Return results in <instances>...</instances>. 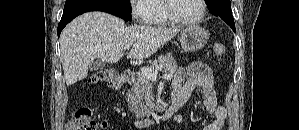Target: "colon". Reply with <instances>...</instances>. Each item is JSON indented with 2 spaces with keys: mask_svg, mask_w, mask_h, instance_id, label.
<instances>
[{
  "mask_svg": "<svg viewBox=\"0 0 299 130\" xmlns=\"http://www.w3.org/2000/svg\"><path fill=\"white\" fill-rule=\"evenodd\" d=\"M216 57H222L226 48L221 43H214L212 46ZM91 84L104 83L111 88L118 89L124 83V75L116 70H103L89 78ZM98 123L92 118V111L89 107L83 106L76 109L72 120L68 124V130H98Z\"/></svg>",
  "mask_w": 299,
  "mask_h": 130,
  "instance_id": "5ec220e1",
  "label": "colon"
}]
</instances>
